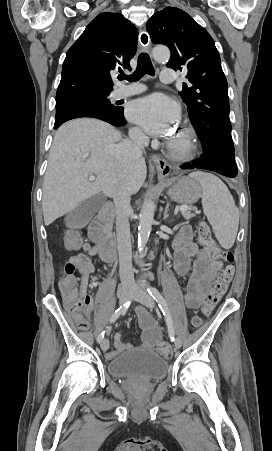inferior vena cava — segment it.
<instances>
[{
  "label": "inferior vena cava",
  "mask_w": 272,
  "mask_h": 451,
  "mask_svg": "<svg viewBox=\"0 0 272 451\" xmlns=\"http://www.w3.org/2000/svg\"><path fill=\"white\" fill-rule=\"evenodd\" d=\"M131 142H121L116 150L115 160L122 170L119 174L118 186L113 196L116 208V231L117 245L119 253V273L122 285L134 287L135 279L132 267V249L130 239V227L128 222V212L131 210L130 196L124 184V176L131 168L137 158L143 156L145 146L149 144V138L140 130L129 132Z\"/></svg>",
  "instance_id": "602c4592"
}]
</instances>
